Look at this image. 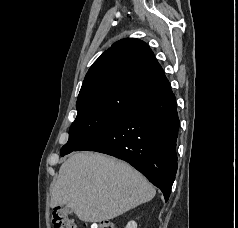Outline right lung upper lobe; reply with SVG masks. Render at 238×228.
I'll return each mask as SVG.
<instances>
[{
  "label": "right lung upper lobe",
  "mask_w": 238,
  "mask_h": 228,
  "mask_svg": "<svg viewBox=\"0 0 238 228\" xmlns=\"http://www.w3.org/2000/svg\"><path fill=\"white\" fill-rule=\"evenodd\" d=\"M171 89L149 46L127 38L114 43L91 66L76 107L85 110H123Z\"/></svg>",
  "instance_id": "1"
}]
</instances>
